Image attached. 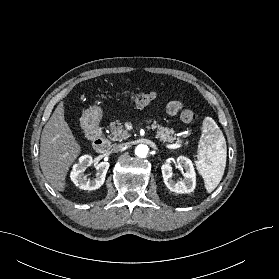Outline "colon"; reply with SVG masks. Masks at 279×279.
<instances>
[{
    "label": "colon",
    "mask_w": 279,
    "mask_h": 279,
    "mask_svg": "<svg viewBox=\"0 0 279 279\" xmlns=\"http://www.w3.org/2000/svg\"><path fill=\"white\" fill-rule=\"evenodd\" d=\"M125 96L131 104L144 107L154 101L157 95L155 92H129ZM181 119L186 123H192L199 119V114L193 109H185L181 113Z\"/></svg>",
    "instance_id": "colon-1"
}]
</instances>
